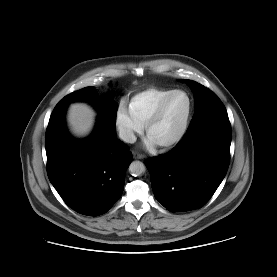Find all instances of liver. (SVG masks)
<instances>
[{
	"label": "liver",
	"instance_id": "obj_1",
	"mask_svg": "<svg viewBox=\"0 0 277 277\" xmlns=\"http://www.w3.org/2000/svg\"><path fill=\"white\" fill-rule=\"evenodd\" d=\"M94 118L95 112L86 104H72L69 109L68 121L71 130L78 136H85L91 131Z\"/></svg>",
	"mask_w": 277,
	"mask_h": 277
}]
</instances>
